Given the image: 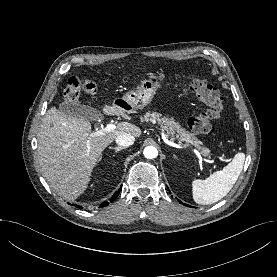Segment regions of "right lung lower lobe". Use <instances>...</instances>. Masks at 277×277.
I'll return each mask as SVG.
<instances>
[{
  "mask_svg": "<svg viewBox=\"0 0 277 277\" xmlns=\"http://www.w3.org/2000/svg\"><path fill=\"white\" fill-rule=\"evenodd\" d=\"M119 191H120V189H119ZM119 191L115 192V194L113 195V197H111L110 202H112V201L115 200V198L119 195ZM108 204H109V202L105 201V202H103V203L101 204V206H102V207H105V206H107ZM75 206L78 207V208H82V206H79V205H75Z\"/></svg>",
  "mask_w": 277,
  "mask_h": 277,
  "instance_id": "obj_1",
  "label": "right lung lower lobe"
}]
</instances>
